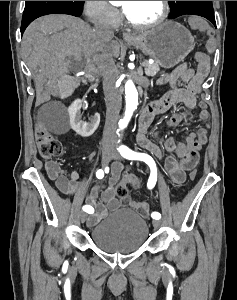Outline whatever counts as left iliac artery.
Masks as SVG:
<instances>
[{"instance_id": "44dca946", "label": "left iliac artery", "mask_w": 237, "mask_h": 300, "mask_svg": "<svg viewBox=\"0 0 237 300\" xmlns=\"http://www.w3.org/2000/svg\"><path fill=\"white\" fill-rule=\"evenodd\" d=\"M117 150L120 152V154L129 160H141L144 161L146 164L149 165L150 169H151V174L150 177L148 179V183H147V187L148 189H152L157 181V168H156V164L154 162V160L152 159L151 156L144 154V153H137L132 151L131 149H129L127 146H120L119 148H117ZM151 217L153 219H160L161 218V214L158 212H153L151 214Z\"/></svg>"}]
</instances>
